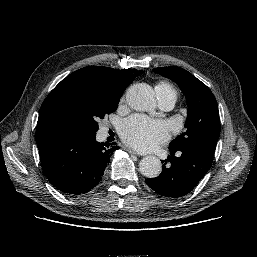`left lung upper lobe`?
Masks as SVG:
<instances>
[{"instance_id": "5c2ea615", "label": "left lung upper lobe", "mask_w": 257, "mask_h": 257, "mask_svg": "<svg viewBox=\"0 0 257 257\" xmlns=\"http://www.w3.org/2000/svg\"><path fill=\"white\" fill-rule=\"evenodd\" d=\"M153 71L177 83L186 96V131L172 141L169 148L200 146L214 152L220 135V118L211 90L191 73L179 67H159Z\"/></svg>"}]
</instances>
